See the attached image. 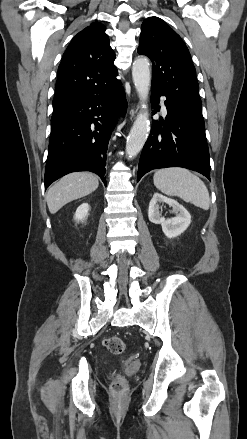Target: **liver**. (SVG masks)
I'll use <instances>...</instances> for the list:
<instances>
[{
	"label": "liver",
	"instance_id": "obj_1",
	"mask_svg": "<svg viewBox=\"0 0 247 439\" xmlns=\"http://www.w3.org/2000/svg\"><path fill=\"white\" fill-rule=\"evenodd\" d=\"M98 185V178L88 172H75L62 177L47 192L46 200L50 213L55 214L67 203L89 195Z\"/></svg>",
	"mask_w": 247,
	"mask_h": 439
}]
</instances>
